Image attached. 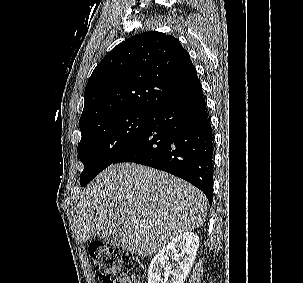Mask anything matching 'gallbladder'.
Listing matches in <instances>:
<instances>
[{
  "label": "gallbladder",
  "mask_w": 303,
  "mask_h": 283,
  "mask_svg": "<svg viewBox=\"0 0 303 283\" xmlns=\"http://www.w3.org/2000/svg\"><path fill=\"white\" fill-rule=\"evenodd\" d=\"M104 241L108 244H111L114 247H120V244H121L120 234L116 233L113 235L106 236V237H104Z\"/></svg>",
  "instance_id": "bac80fb5"
}]
</instances>
